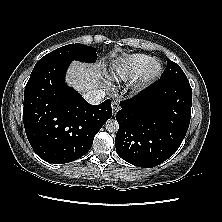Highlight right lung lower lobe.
<instances>
[{
  "label": "right lung lower lobe",
  "mask_w": 222,
  "mask_h": 222,
  "mask_svg": "<svg viewBox=\"0 0 222 222\" xmlns=\"http://www.w3.org/2000/svg\"><path fill=\"white\" fill-rule=\"evenodd\" d=\"M70 63L55 62L33 69L24 92L28 141L40 158L55 164L85 155L112 116L109 99L91 105L67 86L65 73Z\"/></svg>",
  "instance_id": "obj_1"
}]
</instances>
